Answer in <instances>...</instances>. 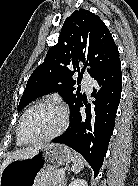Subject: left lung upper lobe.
Returning <instances> with one entry per match:
<instances>
[{
    "label": "left lung upper lobe",
    "instance_id": "left-lung-upper-lobe-1",
    "mask_svg": "<svg viewBox=\"0 0 138 186\" xmlns=\"http://www.w3.org/2000/svg\"><path fill=\"white\" fill-rule=\"evenodd\" d=\"M119 59V52L109 29L94 13L80 9L68 17L61 29L58 43L52 46L45 61L30 76L21 97L18 110H22L40 95L59 92L70 110L81 98L76 91L73 75L80 65L91 77H96Z\"/></svg>",
    "mask_w": 138,
    "mask_h": 186
}]
</instances>
